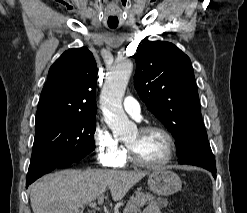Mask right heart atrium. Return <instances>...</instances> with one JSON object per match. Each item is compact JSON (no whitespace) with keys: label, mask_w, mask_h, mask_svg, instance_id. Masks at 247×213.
Returning a JSON list of instances; mask_svg holds the SVG:
<instances>
[{"label":"right heart atrium","mask_w":247,"mask_h":213,"mask_svg":"<svg viewBox=\"0 0 247 213\" xmlns=\"http://www.w3.org/2000/svg\"><path fill=\"white\" fill-rule=\"evenodd\" d=\"M92 140L98 161L102 166H119L126 152L106 125L98 123L95 126Z\"/></svg>","instance_id":"d8ad5b80"}]
</instances>
